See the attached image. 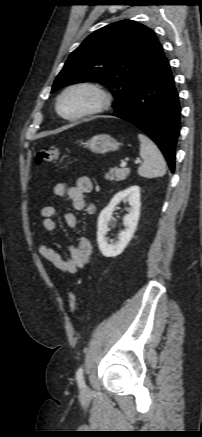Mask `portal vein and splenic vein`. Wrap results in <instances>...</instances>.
I'll list each match as a JSON object with an SVG mask.
<instances>
[{"instance_id":"18ae733b","label":"portal vein and splenic vein","mask_w":202,"mask_h":437,"mask_svg":"<svg viewBox=\"0 0 202 437\" xmlns=\"http://www.w3.org/2000/svg\"><path fill=\"white\" fill-rule=\"evenodd\" d=\"M135 163L138 164V163H140V161L136 160ZM120 166L122 168H125L127 166V163L123 161V162H121Z\"/></svg>"}]
</instances>
